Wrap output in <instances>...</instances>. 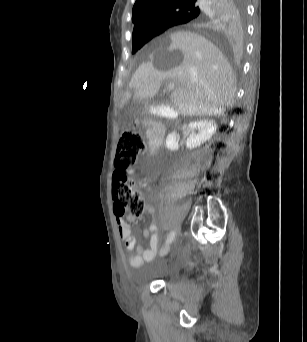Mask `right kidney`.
<instances>
[{"label": "right kidney", "mask_w": 307, "mask_h": 342, "mask_svg": "<svg viewBox=\"0 0 307 342\" xmlns=\"http://www.w3.org/2000/svg\"><path fill=\"white\" fill-rule=\"evenodd\" d=\"M188 128H190V130L198 128V134H194L193 132V134H190L189 138L186 140V148H189V150H193V148H197V146H201V144L210 140L217 130L214 120H197V122H190V124H188ZM165 144L166 148L171 150V152L179 150V144L175 132L168 134Z\"/></svg>", "instance_id": "1"}]
</instances>
